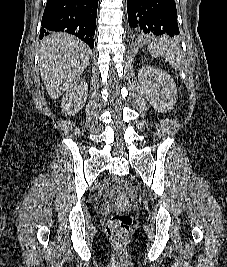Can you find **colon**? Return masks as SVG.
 Listing matches in <instances>:
<instances>
[{
	"label": "colon",
	"instance_id": "obj_1",
	"mask_svg": "<svg viewBox=\"0 0 227 267\" xmlns=\"http://www.w3.org/2000/svg\"><path fill=\"white\" fill-rule=\"evenodd\" d=\"M110 193L118 204H126L134 198L132 184L124 179L115 181L111 186ZM132 222V216L124 212L115 213L108 219L107 234L116 246L123 247L127 244Z\"/></svg>",
	"mask_w": 227,
	"mask_h": 267
}]
</instances>
